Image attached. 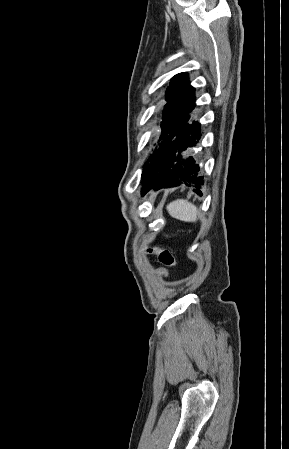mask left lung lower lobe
Returning <instances> with one entry per match:
<instances>
[{
    "label": "left lung lower lobe",
    "mask_w": 289,
    "mask_h": 449,
    "mask_svg": "<svg viewBox=\"0 0 289 449\" xmlns=\"http://www.w3.org/2000/svg\"><path fill=\"white\" fill-rule=\"evenodd\" d=\"M198 122L193 121L181 128L165 146L164 160L160 171L152 178L143 181L142 195L151 188H170L185 184L200 187L204 184L200 175V166L195 159L187 156L186 151L195 146L201 136ZM196 193L201 194L199 190Z\"/></svg>",
    "instance_id": "1"
}]
</instances>
